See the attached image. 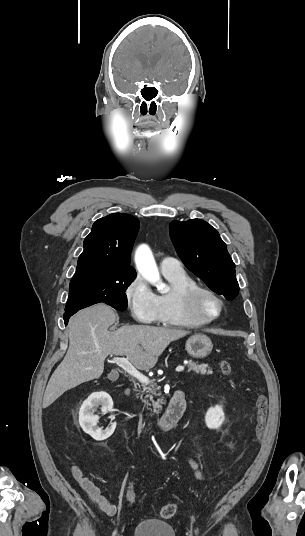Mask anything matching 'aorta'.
Listing matches in <instances>:
<instances>
[{
	"label": "aorta",
	"instance_id": "obj_1",
	"mask_svg": "<svg viewBox=\"0 0 305 536\" xmlns=\"http://www.w3.org/2000/svg\"><path fill=\"white\" fill-rule=\"evenodd\" d=\"M135 264L139 273L158 290H165L151 249L147 245H140L135 252Z\"/></svg>",
	"mask_w": 305,
	"mask_h": 536
}]
</instances>
